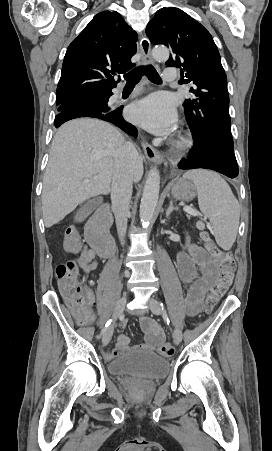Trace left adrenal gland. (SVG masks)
<instances>
[{
  "instance_id": "left-adrenal-gland-1",
  "label": "left adrenal gland",
  "mask_w": 272,
  "mask_h": 451,
  "mask_svg": "<svg viewBox=\"0 0 272 451\" xmlns=\"http://www.w3.org/2000/svg\"><path fill=\"white\" fill-rule=\"evenodd\" d=\"M173 210H178V208H174L173 202H170V206H169L168 210H166V218H168V216H170V214H171V212H173Z\"/></svg>"
}]
</instances>
